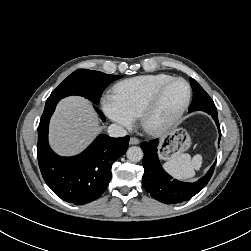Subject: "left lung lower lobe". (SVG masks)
<instances>
[{
    "label": "left lung lower lobe",
    "instance_id": "1",
    "mask_svg": "<svg viewBox=\"0 0 251 251\" xmlns=\"http://www.w3.org/2000/svg\"><path fill=\"white\" fill-rule=\"evenodd\" d=\"M200 106V105H199ZM199 110L204 111L202 106ZM206 112V111H205ZM215 120L219 130V141L221 138L218 114L207 112ZM158 139L149 142H142L140 147L144 151L143 167L144 175L142 178L144 189L156 200L165 204H175L189 200L200 192L209 182L216 162L211 166L205 176L194 183H184L173 179L162 168L157 154Z\"/></svg>",
    "mask_w": 251,
    "mask_h": 251
}]
</instances>
